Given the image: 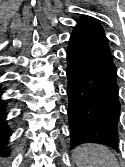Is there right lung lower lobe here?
I'll return each mask as SVG.
<instances>
[{"instance_id": "obj_1", "label": "right lung lower lobe", "mask_w": 125, "mask_h": 167, "mask_svg": "<svg viewBox=\"0 0 125 167\" xmlns=\"http://www.w3.org/2000/svg\"><path fill=\"white\" fill-rule=\"evenodd\" d=\"M6 102L1 100L0 94V155H6L9 152V148L7 147V140L11 135V131L9 130L7 124L4 122L6 118Z\"/></svg>"}]
</instances>
